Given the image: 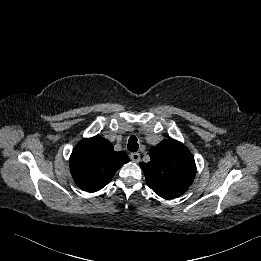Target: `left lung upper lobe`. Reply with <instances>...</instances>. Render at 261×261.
<instances>
[{
  "label": "left lung upper lobe",
  "instance_id": "5c2ea615",
  "mask_svg": "<svg viewBox=\"0 0 261 261\" xmlns=\"http://www.w3.org/2000/svg\"><path fill=\"white\" fill-rule=\"evenodd\" d=\"M149 155L150 162L140 164L148 186L164 199L184 194L196 174L190 151L182 143L168 139L152 147Z\"/></svg>",
  "mask_w": 261,
  "mask_h": 261
}]
</instances>
